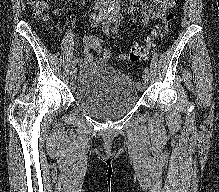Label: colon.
Returning a JSON list of instances; mask_svg holds the SVG:
<instances>
[{
  "mask_svg": "<svg viewBox=\"0 0 219 192\" xmlns=\"http://www.w3.org/2000/svg\"><path fill=\"white\" fill-rule=\"evenodd\" d=\"M31 5L33 14L36 18L44 19L48 16L50 8L48 0H32ZM173 25L174 15L172 13H169L163 18L161 25L155 32L154 38L147 40L144 44L132 46L129 51L124 55L125 59L135 62L145 57L148 54L151 46L154 45L155 40L158 37H162L164 34H166L173 27ZM103 58L105 60L109 59L110 52L103 51Z\"/></svg>",
  "mask_w": 219,
  "mask_h": 192,
  "instance_id": "obj_1",
  "label": "colon"
}]
</instances>
